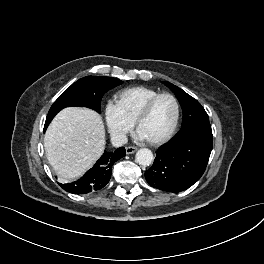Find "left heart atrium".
Returning a JSON list of instances; mask_svg holds the SVG:
<instances>
[{"mask_svg":"<svg viewBox=\"0 0 264 264\" xmlns=\"http://www.w3.org/2000/svg\"><path fill=\"white\" fill-rule=\"evenodd\" d=\"M139 138L146 139L140 132L138 133Z\"/></svg>","mask_w":264,"mask_h":264,"instance_id":"39dd6f15","label":"left heart atrium"}]
</instances>
